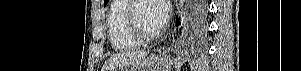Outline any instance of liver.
Listing matches in <instances>:
<instances>
[{
    "mask_svg": "<svg viewBox=\"0 0 301 71\" xmlns=\"http://www.w3.org/2000/svg\"><path fill=\"white\" fill-rule=\"evenodd\" d=\"M148 51H129L111 56L103 65L102 71H112L124 66L134 65L143 61Z\"/></svg>",
    "mask_w": 301,
    "mask_h": 71,
    "instance_id": "obj_1",
    "label": "liver"
}]
</instances>
